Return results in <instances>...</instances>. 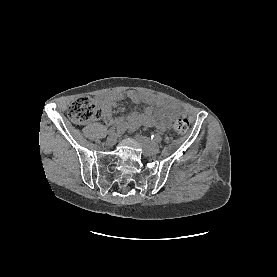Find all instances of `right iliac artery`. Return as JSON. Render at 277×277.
Segmentation results:
<instances>
[{
    "label": "right iliac artery",
    "instance_id": "obj_1",
    "mask_svg": "<svg viewBox=\"0 0 277 277\" xmlns=\"http://www.w3.org/2000/svg\"><path fill=\"white\" fill-rule=\"evenodd\" d=\"M127 128H128V124H127V123L118 125L116 128H113V129L110 130V134L115 133V132H117V133H122V132H124Z\"/></svg>",
    "mask_w": 277,
    "mask_h": 277
}]
</instances>
